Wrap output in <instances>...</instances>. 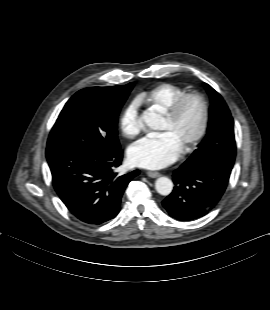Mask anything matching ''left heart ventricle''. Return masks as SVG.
I'll return each instance as SVG.
<instances>
[{
  "label": "left heart ventricle",
  "mask_w": 270,
  "mask_h": 310,
  "mask_svg": "<svg viewBox=\"0 0 270 310\" xmlns=\"http://www.w3.org/2000/svg\"><path fill=\"white\" fill-rule=\"evenodd\" d=\"M201 118L200 105L195 100H189L174 122L164 119L161 132L169 133L182 148L198 131Z\"/></svg>",
  "instance_id": "left-heart-ventricle-1"
}]
</instances>
